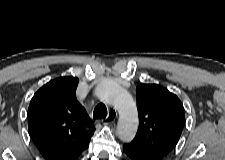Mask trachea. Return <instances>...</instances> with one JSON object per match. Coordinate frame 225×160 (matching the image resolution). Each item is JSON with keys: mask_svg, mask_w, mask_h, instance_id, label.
<instances>
[{"mask_svg": "<svg viewBox=\"0 0 225 160\" xmlns=\"http://www.w3.org/2000/svg\"><path fill=\"white\" fill-rule=\"evenodd\" d=\"M107 116V108L103 103H99L95 108L93 112V118L94 119H103Z\"/></svg>", "mask_w": 225, "mask_h": 160, "instance_id": "trachea-1", "label": "trachea"}]
</instances>
